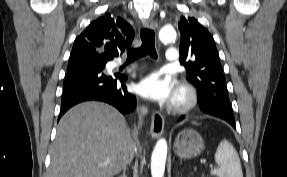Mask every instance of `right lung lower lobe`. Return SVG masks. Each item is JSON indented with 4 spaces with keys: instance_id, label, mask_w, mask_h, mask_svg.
I'll list each match as a JSON object with an SVG mask.
<instances>
[{
    "instance_id": "obj_1",
    "label": "right lung lower lobe",
    "mask_w": 287,
    "mask_h": 177,
    "mask_svg": "<svg viewBox=\"0 0 287 177\" xmlns=\"http://www.w3.org/2000/svg\"><path fill=\"white\" fill-rule=\"evenodd\" d=\"M99 64H86L67 70L63 85L59 118L72 106L85 101H103L121 113H130L136 107V98L127 92V76L109 75Z\"/></svg>"
}]
</instances>
